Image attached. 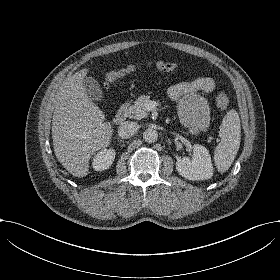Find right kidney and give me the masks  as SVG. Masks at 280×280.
I'll list each match as a JSON object with an SVG mask.
<instances>
[{
	"mask_svg": "<svg viewBox=\"0 0 280 280\" xmlns=\"http://www.w3.org/2000/svg\"><path fill=\"white\" fill-rule=\"evenodd\" d=\"M116 152L114 149H104L101 152H98L92 162V166L95 171H102L108 169L114 159H115Z\"/></svg>",
	"mask_w": 280,
	"mask_h": 280,
	"instance_id": "1",
	"label": "right kidney"
}]
</instances>
